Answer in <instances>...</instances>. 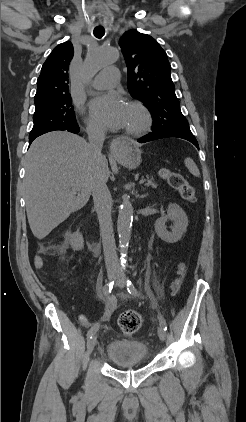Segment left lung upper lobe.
Returning a JSON list of instances; mask_svg holds the SVG:
<instances>
[{
    "instance_id": "1",
    "label": "left lung upper lobe",
    "mask_w": 246,
    "mask_h": 422,
    "mask_svg": "<svg viewBox=\"0 0 246 422\" xmlns=\"http://www.w3.org/2000/svg\"><path fill=\"white\" fill-rule=\"evenodd\" d=\"M119 45L128 69V90L150 109L152 132L190 129L175 94L170 63L159 43L147 34L129 30Z\"/></svg>"
}]
</instances>
